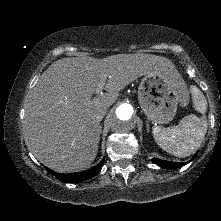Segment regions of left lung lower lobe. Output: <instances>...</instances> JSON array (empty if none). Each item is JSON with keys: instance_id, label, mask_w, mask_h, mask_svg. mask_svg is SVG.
<instances>
[{"instance_id": "left-lung-lower-lobe-1", "label": "left lung lower lobe", "mask_w": 221, "mask_h": 221, "mask_svg": "<svg viewBox=\"0 0 221 221\" xmlns=\"http://www.w3.org/2000/svg\"><path fill=\"white\" fill-rule=\"evenodd\" d=\"M196 154H195V156H196ZM193 159L194 158H192L190 161H192ZM151 161L153 163H155L156 165L163 167V168H179V167H182L190 162V161H188L186 163H178V162H170V161H166V160H161L158 158H153V159H151Z\"/></svg>"}]
</instances>
